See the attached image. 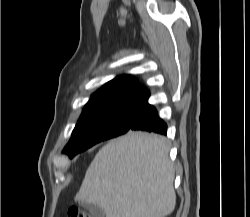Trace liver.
<instances>
[{
    "mask_svg": "<svg viewBox=\"0 0 250 217\" xmlns=\"http://www.w3.org/2000/svg\"><path fill=\"white\" fill-rule=\"evenodd\" d=\"M173 182L165 138L129 132L98 151L75 201L99 206L106 217H165L176 204Z\"/></svg>",
    "mask_w": 250,
    "mask_h": 217,
    "instance_id": "obj_1",
    "label": "liver"
}]
</instances>
